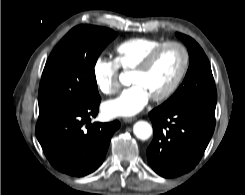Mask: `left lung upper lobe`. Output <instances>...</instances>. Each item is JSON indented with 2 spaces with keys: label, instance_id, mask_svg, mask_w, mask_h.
<instances>
[{
  "label": "left lung upper lobe",
  "instance_id": "obj_1",
  "mask_svg": "<svg viewBox=\"0 0 245 195\" xmlns=\"http://www.w3.org/2000/svg\"><path fill=\"white\" fill-rule=\"evenodd\" d=\"M176 36L187 46L189 69L181 86L164 104L215 108L217 93L207 56L191 37L181 33Z\"/></svg>",
  "mask_w": 245,
  "mask_h": 195
}]
</instances>
